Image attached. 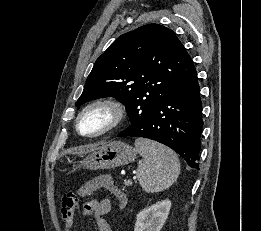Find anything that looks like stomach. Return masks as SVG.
<instances>
[{"label": "stomach", "mask_w": 261, "mask_h": 231, "mask_svg": "<svg viewBox=\"0 0 261 231\" xmlns=\"http://www.w3.org/2000/svg\"><path fill=\"white\" fill-rule=\"evenodd\" d=\"M137 150L122 141H112L87 155L77 165H73L72 171L78 168L90 170L112 169L127 165L136 158Z\"/></svg>", "instance_id": "obj_1"}]
</instances>
